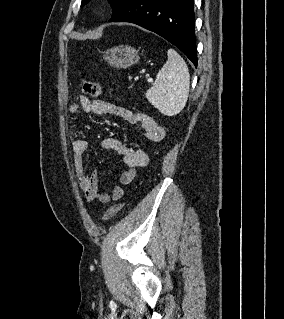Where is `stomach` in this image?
<instances>
[{
    "mask_svg": "<svg viewBox=\"0 0 284 319\" xmlns=\"http://www.w3.org/2000/svg\"><path fill=\"white\" fill-rule=\"evenodd\" d=\"M103 58L113 67L126 68L137 63L140 56L135 48L128 45H119L104 51Z\"/></svg>",
    "mask_w": 284,
    "mask_h": 319,
    "instance_id": "stomach-1",
    "label": "stomach"
}]
</instances>
